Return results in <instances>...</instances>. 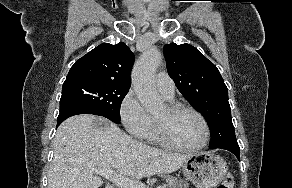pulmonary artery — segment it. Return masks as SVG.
Returning <instances> with one entry per match:
<instances>
[{
    "instance_id": "1",
    "label": "pulmonary artery",
    "mask_w": 292,
    "mask_h": 188,
    "mask_svg": "<svg viewBox=\"0 0 292 188\" xmlns=\"http://www.w3.org/2000/svg\"><path fill=\"white\" fill-rule=\"evenodd\" d=\"M155 84L158 91L168 100L174 97L175 84L173 79L164 72H160L155 77Z\"/></svg>"
}]
</instances>
